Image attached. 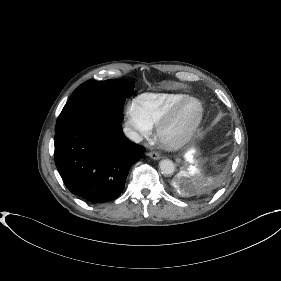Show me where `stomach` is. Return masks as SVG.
Listing matches in <instances>:
<instances>
[{
	"mask_svg": "<svg viewBox=\"0 0 281 281\" xmlns=\"http://www.w3.org/2000/svg\"><path fill=\"white\" fill-rule=\"evenodd\" d=\"M165 85H166V86H170V85H171V83H170V82H168V83H165Z\"/></svg>",
	"mask_w": 281,
	"mask_h": 281,
	"instance_id": "1",
	"label": "stomach"
}]
</instances>
